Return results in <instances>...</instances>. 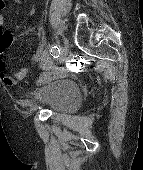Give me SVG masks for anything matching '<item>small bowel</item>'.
Instances as JSON below:
<instances>
[{
    "mask_svg": "<svg viewBox=\"0 0 143 170\" xmlns=\"http://www.w3.org/2000/svg\"><path fill=\"white\" fill-rule=\"evenodd\" d=\"M14 1H18V0H14ZM0 5H2V7L4 6L3 0H2V4ZM5 23H6V17L4 14L0 13V79L5 85L13 86L15 85L16 81H21L26 78L28 74V69L21 68L18 71H16L13 75H10L6 72L4 51L6 48L10 47L11 44L13 43V37L11 33L5 30ZM34 31L39 34L41 32V28L35 27ZM31 62L37 63L40 69L43 71L39 79L40 82L46 81L52 75H54L53 73L55 71L52 72L53 61L47 52L46 41L44 39L38 40L36 51L32 56ZM57 72L58 75L61 76L65 74L66 70L60 69Z\"/></svg>",
    "mask_w": 143,
    "mask_h": 170,
    "instance_id": "obj_1",
    "label": "small bowel"
}]
</instances>
